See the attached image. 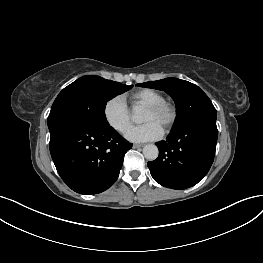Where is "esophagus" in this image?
Returning <instances> with one entry per match:
<instances>
[{
  "instance_id": "1",
  "label": "esophagus",
  "mask_w": 263,
  "mask_h": 263,
  "mask_svg": "<svg viewBox=\"0 0 263 263\" xmlns=\"http://www.w3.org/2000/svg\"><path fill=\"white\" fill-rule=\"evenodd\" d=\"M142 146V144H133V148H141Z\"/></svg>"
}]
</instances>
